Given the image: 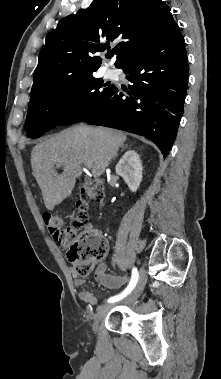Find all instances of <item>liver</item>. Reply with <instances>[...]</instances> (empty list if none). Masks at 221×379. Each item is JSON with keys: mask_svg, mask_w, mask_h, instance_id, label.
<instances>
[{"mask_svg": "<svg viewBox=\"0 0 221 379\" xmlns=\"http://www.w3.org/2000/svg\"><path fill=\"white\" fill-rule=\"evenodd\" d=\"M126 139L121 131L76 126L37 144L31 152V166L46 208L53 210L71 194L83 164L92 162L93 176L100 177ZM55 166L63 172L58 174Z\"/></svg>", "mask_w": 221, "mask_h": 379, "instance_id": "liver-1", "label": "liver"}]
</instances>
